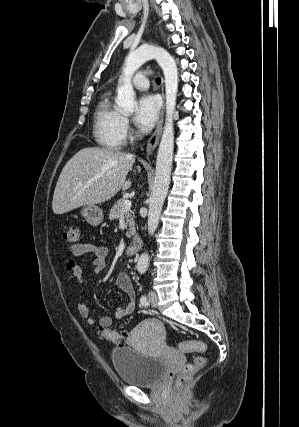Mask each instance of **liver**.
<instances>
[{"label":"liver","instance_id":"liver-1","mask_svg":"<svg viewBox=\"0 0 299 427\" xmlns=\"http://www.w3.org/2000/svg\"><path fill=\"white\" fill-rule=\"evenodd\" d=\"M135 162L133 154L119 150L87 147L64 166L53 195L52 209L64 214L75 208L110 200L131 181L126 176Z\"/></svg>","mask_w":299,"mask_h":427}]
</instances>
